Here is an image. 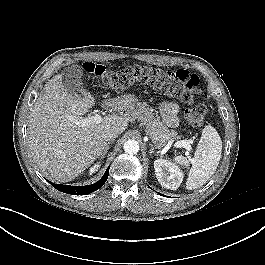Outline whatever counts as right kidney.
Masks as SVG:
<instances>
[{"instance_id":"right-kidney-1","label":"right kidney","mask_w":265,"mask_h":265,"mask_svg":"<svg viewBox=\"0 0 265 265\" xmlns=\"http://www.w3.org/2000/svg\"><path fill=\"white\" fill-rule=\"evenodd\" d=\"M100 166H101V165H100V162H98V163L95 164L93 167H91L90 170H89V171H90V175L93 174V173H95V172H97L98 169L100 168Z\"/></svg>"}]
</instances>
